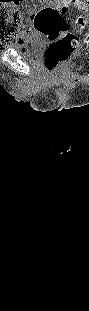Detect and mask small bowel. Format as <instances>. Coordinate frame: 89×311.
Wrapping results in <instances>:
<instances>
[{
  "label": "small bowel",
  "mask_w": 89,
  "mask_h": 311,
  "mask_svg": "<svg viewBox=\"0 0 89 311\" xmlns=\"http://www.w3.org/2000/svg\"><path fill=\"white\" fill-rule=\"evenodd\" d=\"M28 31L21 24L19 28L12 31L8 34V37L12 40V42L20 43L27 37Z\"/></svg>",
  "instance_id": "1"
}]
</instances>
